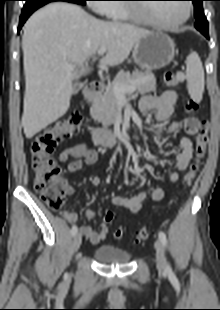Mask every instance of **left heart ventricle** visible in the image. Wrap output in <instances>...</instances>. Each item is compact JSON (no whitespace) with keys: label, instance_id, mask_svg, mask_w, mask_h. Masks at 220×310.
I'll use <instances>...</instances> for the list:
<instances>
[{"label":"left heart ventricle","instance_id":"obj_1","mask_svg":"<svg viewBox=\"0 0 220 310\" xmlns=\"http://www.w3.org/2000/svg\"><path fill=\"white\" fill-rule=\"evenodd\" d=\"M148 14L156 19L172 23L181 19L186 12L185 3H164L152 5L144 9Z\"/></svg>","mask_w":220,"mask_h":310}]
</instances>
